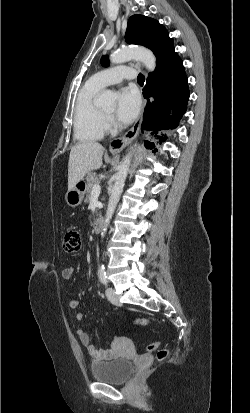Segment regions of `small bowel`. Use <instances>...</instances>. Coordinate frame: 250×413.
Wrapping results in <instances>:
<instances>
[{"mask_svg":"<svg viewBox=\"0 0 250 413\" xmlns=\"http://www.w3.org/2000/svg\"><path fill=\"white\" fill-rule=\"evenodd\" d=\"M74 272L75 268L73 266H68L63 269L62 276L64 279H70L73 276ZM80 304L81 302L77 299H69V306L73 309H77ZM84 317L85 314L83 312L76 314L77 321H82ZM77 336L81 344L86 348L88 354L95 361L112 360L117 357L123 342L120 337H113L108 348L98 349L91 343L90 335L85 329L79 328L77 330Z\"/></svg>","mask_w":250,"mask_h":413,"instance_id":"c3829d8e","label":"small bowel"}]
</instances>
